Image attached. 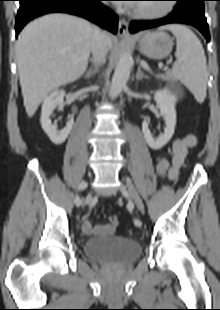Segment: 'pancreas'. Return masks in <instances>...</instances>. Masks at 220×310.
Instances as JSON below:
<instances>
[{
	"instance_id": "cf45deb5",
	"label": "pancreas",
	"mask_w": 220,
	"mask_h": 310,
	"mask_svg": "<svg viewBox=\"0 0 220 310\" xmlns=\"http://www.w3.org/2000/svg\"><path fill=\"white\" fill-rule=\"evenodd\" d=\"M159 78L163 81H173L175 76L171 71H168L166 74L159 76Z\"/></svg>"
}]
</instances>
